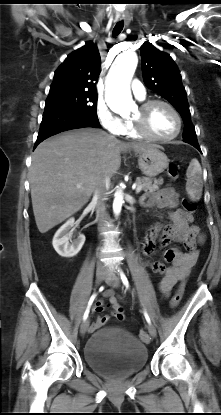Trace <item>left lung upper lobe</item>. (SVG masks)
Segmentation results:
<instances>
[{"label":"left lung upper lobe","mask_w":221,"mask_h":415,"mask_svg":"<svg viewBox=\"0 0 221 415\" xmlns=\"http://www.w3.org/2000/svg\"><path fill=\"white\" fill-rule=\"evenodd\" d=\"M142 75L145 85L165 98L180 113L184 122L183 138L196 137L191 122L187 94L179 69L169 54L156 49L146 41L140 47Z\"/></svg>","instance_id":"left-lung-upper-lobe-1"}]
</instances>
